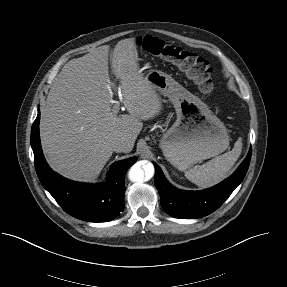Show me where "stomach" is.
I'll return each instance as SVG.
<instances>
[{"label":"stomach","instance_id":"obj_1","mask_svg":"<svg viewBox=\"0 0 287 287\" xmlns=\"http://www.w3.org/2000/svg\"><path fill=\"white\" fill-rule=\"evenodd\" d=\"M145 79L155 91L169 98L176 111V121L162 135L159 144L174 167L184 171L228 148L229 136L224 123L203 101L162 71L150 70Z\"/></svg>","mask_w":287,"mask_h":287}]
</instances>
